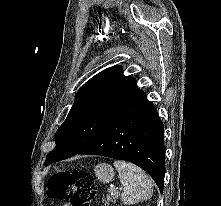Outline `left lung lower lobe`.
I'll return each mask as SVG.
<instances>
[{
    "label": "left lung lower lobe",
    "mask_w": 221,
    "mask_h": 206,
    "mask_svg": "<svg viewBox=\"0 0 221 206\" xmlns=\"http://www.w3.org/2000/svg\"><path fill=\"white\" fill-rule=\"evenodd\" d=\"M76 154L101 155L129 161L145 170L161 193L163 191V123L145 93Z\"/></svg>",
    "instance_id": "1"
}]
</instances>
